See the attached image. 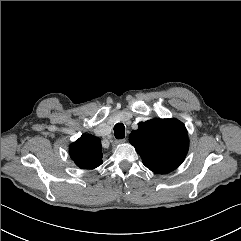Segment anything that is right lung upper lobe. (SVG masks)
Listing matches in <instances>:
<instances>
[{
    "label": "right lung upper lobe",
    "instance_id": "obj_1",
    "mask_svg": "<svg viewBox=\"0 0 241 241\" xmlns=\"http://www.w3.org/2000/svg\"><path fill=\"white\" fill-rule=\"evenodd\" d=\"M69 153L75 164L83 169H94L103 163L101 140L90 134H83L72 143Z\"/></svg>",
    "mask_w": 241,
    "mask_h": 241
}]
</instances>
